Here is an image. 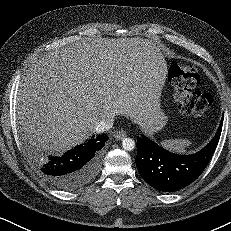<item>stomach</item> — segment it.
<instances>
[{
  "label": "stomach",
  "mask_w": 231,
  "mask_h": 231,
  "mask_svg": "<svg viewBox=\"0 0 231 231\" xmlns=\"http://www.w3.org/2000/svg\"><path fill=\"white\" fill-rule=\"evenodd\" d=\"M165 122L166 120H162V119L156 121L154 124V131L160 130L165 125Z\"/></svg>",
  "instance_id": "obj_1"
}]
</instances>
